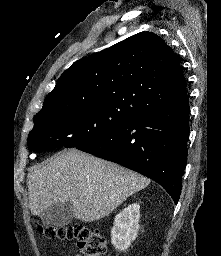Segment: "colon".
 Returning a JSON list of instances; mask_svg holds the SVG:
<instances>
[{"instance_id":"1","label":"colon","mask_w":221,"mask_h":256,"mask_svg":"<svg viewBox=\"0 0 221 256\" xmlns=\"http://www.w3.org/2000/svg\"><path fill=\"white\" fill-rule=\"evenodd\" d=\"M39 230L52 240L75 239L81 256H105L107 246L104 237L89 227L78 226H49L38 227Z\"/></svg>"}]
</instances>
